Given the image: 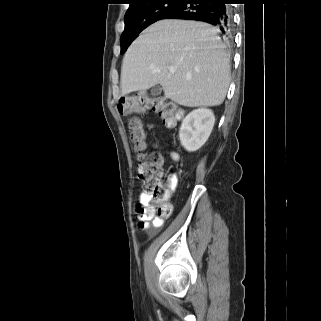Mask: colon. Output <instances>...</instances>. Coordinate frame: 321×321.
<instances>
[{
    "label": "colon",
    "instance_id": "colon-1",
    "mask_svg": "<svg viewBox=\"0 0 321 321\" xmlns=\"http://www.w3.org/2000/svg\"><path fill=\"white\" fill-rule=\"evenodd\" d=\"M123 115H132L146 110H153L160 115L167 127H174L180 119L181 113L177 106L162 97L150 98L145 94L124 97L118 104ZM131 140L135 149L136 173L143 182L146 192L151 195L148 205H137L139 214H153L161 218H168L172 206L166 201L167 191L161 185L162 162L158 155L148 156L144 151L143 129L137 118L130 119Z\"/></svg>",
    "mask_w": 321,
    "mask_h": 321
}]
</instances>
